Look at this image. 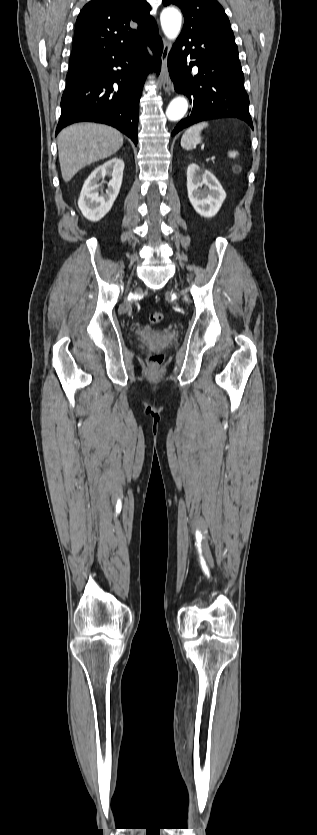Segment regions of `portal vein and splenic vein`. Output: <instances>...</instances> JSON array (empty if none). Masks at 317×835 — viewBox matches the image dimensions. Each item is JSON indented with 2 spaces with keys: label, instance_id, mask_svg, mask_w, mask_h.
Wrapping results in <instances>:
<instances>
[{
  "label": "portal vein and splenic vein",
  "instance_id": "18ae733b",
  "mask_svg": "<svg viewBox=\"0 0 317 835\" xmlns=\"http://www.w3.org/2000/svg\"><path fill=\"white\" fill-rule=\"evenodd\" d=\"M209 160H210L211 162L215 163V161H216V157H215V156H212V157H210V158H209Z\"/></svg>",
  "mask_w": 317,
  "mask_h": 835
}]
</instances>
